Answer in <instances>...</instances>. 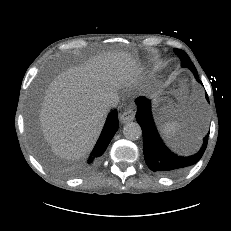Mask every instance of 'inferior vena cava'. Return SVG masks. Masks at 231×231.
I'll list each match as a JSON object with an SVG mask.
<instances>
[{
  "instance_id": "602c4592",
  "label": "inferior vena cava",
  "mask_w": 231,
  "mask_h": 231,
  "mask_svg": "<svg viewBox=\"0 0 231 231\" xmlns=\"http://www.w3.org/2000/svg\"><path fill=\"white\" fill-rule=\"evenodd\" d=\"M119 102V96L117 93H110L107 100H106V107L109 108H113L116 107L118 105Z\"/></svg>"
}]
</instances>
